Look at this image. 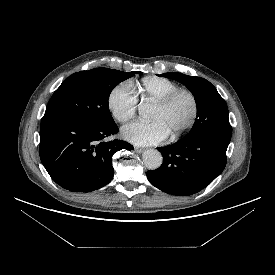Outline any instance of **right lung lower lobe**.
I'll return each mask as SVG.
<instances>
[{
    "label": "right lung lower lobe",
    "instance_id": "98d812e1",
    "mask_svg": "<svg viewBox=\"0 0 275 275\" xmlns=\"http://www.w3.org/2000/svg\"><path fill=\"white\" fill-rule=\"evenodd\" d=\"M108 125L68 116L43 118L40 158L51 178L64 189L91 192L113 178L112 156L133 146L121 140L106 141L117 133Z\"/></svg>",
    "mask_w": 275,
    "mask_h": 275
}]
</instances>
